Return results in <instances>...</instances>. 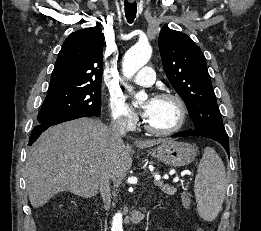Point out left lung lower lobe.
<instances>
[{
	"mask_svg": "<svg viewBox=\"0 0 261 231\" xmlns=\"http://www.w3.org/2000/svg\"><path fill=\"white\" fill-rule=\"evenodd\" d=\"M187 136H202V137H206L203 133L197 131V130H185V131H181V132H178L176 134H173L171 137H187ZM207 138H210V137H207ZM210 139H213L219 143H221L227 154L229 155V141L226 140V139H221V138H210Z\"/></svg>",
	"mask_w": 261,
	"mask_h": 231,
	"instance_id": "left-lung-lower-lobe-1",
	"label": "left lung lower lobe"
}]
</instances>
